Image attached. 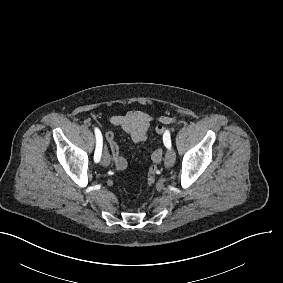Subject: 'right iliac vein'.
I'll list each match as a JSON object with an SVG mask.
<instances>
[{"mask_svg": "<svg viewBox=\"0 0 283 283\" xmlns=\"http://www.w3.org/2000/svg\"><path fill=\"white\" fill-rule=\"evenodd\" d=\"M101 164L105 167L110 165V156L106 150L103 151L102 159H101Z\"/></svg>", "mask_w": 283, "mask_h": 283, "instance_id": "1", "label": "right iliac vein"}]
</instances>
